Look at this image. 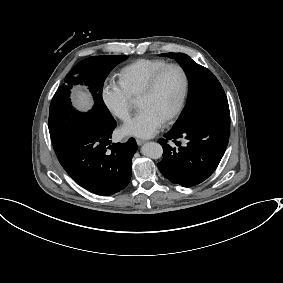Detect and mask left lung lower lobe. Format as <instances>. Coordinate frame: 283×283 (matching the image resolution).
Segmentation results:
<instances>
[{
  "instance_id": "obj_1",
  "label": "left lung lower lobe",
  "mask_w": 283,
  "mask_h": 283,
  "mask_svg": "<svg viewBox=\"0 0 283 283\" xmlns=\"http://www.w3.org/2000/svg\"><path fill=\"white\" fill-rule=\"evenodd\" d=\"M230 119L201 121L186 128H172L158 142L163 159L158 163L162 175L174 184L195 186L217 168L229 141ZM185 138L187 144L178 141ZM169 140L176 144H169Z\"/></svg>"
}]
</instances>
